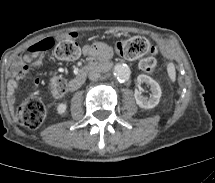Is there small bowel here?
Listing matches in <instances>:
<instances>
[{
  "label": "small bowel",
  "instance_id": "small-bowel-1",
  "mask_svg": "<svg viewBox=\"0 0 215 183\" xmlns=\"http://www.w3.org/2000/svg\"><path fill=\"white\" fill-rule=\"evenodd\" d=\"M70 37H76L75 33H71ZM44 40H51L54 44V40L52 38H45L37 43L30 46L27 50V53L24 54L14 65L13 67V79L9 82L8 85V99L11 103L14 102V92L17 90L20 86L21 80L26 77L30 70L40 64L44 60V56L46 51L50 50H37L35 49V46L39 44L41 41ZM83 52L88 57H94L100 53H107L108 48L102 44V43H94L92 45H86L83 48ZM34 85L38 84V81L33 82Z\"/></svg>",
  "mask_w": 215,
  "mask_h": 183
}]
</instances>
